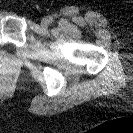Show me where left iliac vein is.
<instances>
[{
  "instance_id": "4c4485c4",
  "label": "left iliac vein",
  "mask_w": 133,
  "mask_h": 133,
  "mask_svg": "<svg viewBox=\"0 0 133 133\" xmlns=\"http://www.w3.org/2000/svg\"><path fill=\"white\" fill-rule=\"evenodd\" d=\"M41 23H42L43 26H48L50 24L49 18L48 17L47 18H43L41 20Z\"/></svg>"
}]
</instances>
